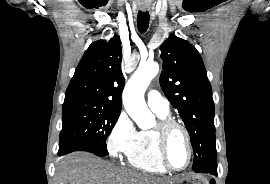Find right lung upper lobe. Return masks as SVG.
I'll return each instance as SVG.
<instances>
[{
	"mask_svg": "<svg viewBox=\"0 0 270 184\" xmlns=\"http://www.w3.org/2000/svg\"><path fill=\"white\" fill-rule=\"evenodd\" d=\"M118 35L93 42L84 53L66 90L65 100H83L121 111L124 78Z\"/></svg>",
	"mask_w": 270,
	"mask_h": 184,
	"instance_id": "cb5924a9",
	"label": "right lung upper lobe"
}]
</instances>
